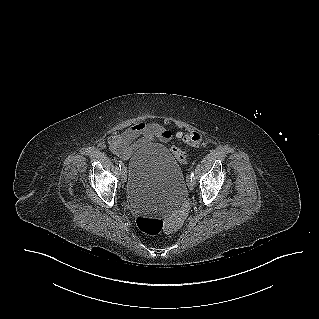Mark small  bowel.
Here are the masks:
<instances>
[{"mask_svg": "<svg viewBox=\"0 0 319 319\" xmlns=\"http://www.w3.org/2000/svg\"><path fill=\"white\" fill-rule=\"evenodd\" d=\"M171 138L172 132L163 126L140 121L123 132L110 133L107 145L117 157L125 161L149 142L156 140L166 143Z\"/></svg>", "mask_w": 319, "mask_h": 319, "instance_id": "1", "label": "small bowel"}]
</instances>
